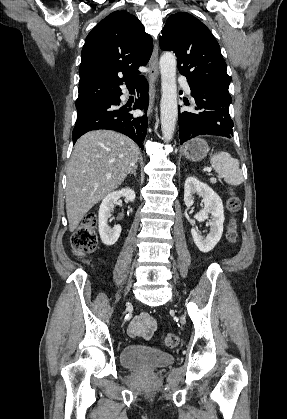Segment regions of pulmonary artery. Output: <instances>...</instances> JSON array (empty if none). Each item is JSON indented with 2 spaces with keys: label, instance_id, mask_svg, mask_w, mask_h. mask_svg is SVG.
<instances>
[{
  "label": "pulmonary artery",
  "instance_id": "1",
  "mask_svg": "<svg viewBox=\"0 0 287 419\" xmlns=\"http://www.w3.org/2000/svg\"><path fill=\"white\" fill-rule=\"evenodd\" d=\"M179 82H180V84L182 85V87H183V89L185 90V92L187 93V94H191V89H190V87H189V85H188V83H187V81L185 80V79H183V78H181L180 80H179Z\"/></svg>",
  "mask_w": 287,
  "mask_h": 419
}]
</instances>
